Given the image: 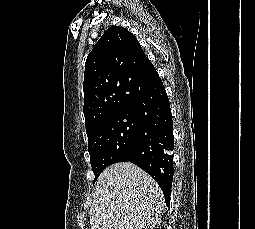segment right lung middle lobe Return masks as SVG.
Here are the masks:
<instances>
[{
  "instance_id": "right-lung-middle-lobe-1",
  "label": "right lung middle lobe",
  "mask_w": 255,
  "mask_h": 229,
  "mask_svg": "<svg viewBox=\"0 0 255 229\" xmlns=\"http://www.w3.org/2000/svg\"><path fill=\"white\" fill-rule=\"evenodd\" d=\"M137 127V117L124 109L88 137V152L95 175L93 183L106 167L129 159Z\"/></svg>"
}]
</instances>
